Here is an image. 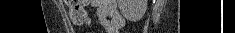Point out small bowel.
I'll return each mask as SVG.
<instances>
[{
    "label": "small bowel",
    "instance_id": "obj_1",
    "mask_svg": "<svg viewBox=\"0 0 235 33\" xmlns=\"http://www.w3.org/2000/svg\"><path fill=\"white\" fill-rule=\"evenodd\" d=\"M90 5L95 9V16L105 27L107 33H120L125 26V20L118 10L116 0H92ZM91 19L87 18L86 24H90Z\"/></svg>",
    "mask_w": 235,
    "mask_h": 33
}]
</instances>
